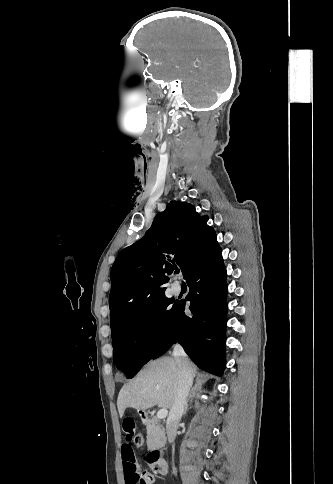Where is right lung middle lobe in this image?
I'll return each mask as SVG.
<instances>
[{"label": "right lung middle lobe", "instance_id": "right-lung-middle-lobe-1", "mask_svg": "<svg viewBox=\"0 0 333 484\" xmlns=\"http://www.w3.org/2000/svg\"><path fill=\"white\" fill-rule=\"evenodd\" d=\"M165 295L136 309L112 331L113 360L132 378L153 358L171 328L179 305Z\"/></svg>", "mask_w": 333, "mask_h": 484}]
</instances>
